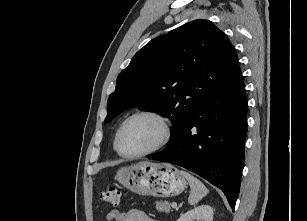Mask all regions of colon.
Here are the masks:
<instances>
[{"mask_svg":"<svg viewBox=\"0 0 307 221\" xmlns=\"http://www.w3.org/2000/svg\"><path fill=\"white\" fill-rule=\"evenodd\" d=\"M122 193L117 187H108L100 194V199L113 206H119L121 203Z\"/></svg>","mask_w":307,"mask_h":221,"instance_id":"colon-1","label":"colon"}]
</instances>
